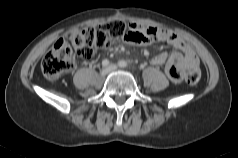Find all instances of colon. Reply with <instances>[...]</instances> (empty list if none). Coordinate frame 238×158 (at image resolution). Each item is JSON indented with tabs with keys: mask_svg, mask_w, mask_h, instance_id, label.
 <instances>
[{
	"mask_svg": "<svg viewBox=\"0 0 238 158\" xmlns=\"http://www.w3.org/2000/svg\"><path fill=\"white\" fill-rule=\"evenodd\" d=\"M131 24L113 20L98 27L74 29L58 40L41 63L44 77L50 81L59 79L75 65L76 56L89 58L98 50L107 48L113 40H127L131 36ZM201 78L198 68L189 70L185 80L195 85Z\"/></svg>",
	"mask_w": 238,
	"mask_h": 158,
	"instance_id": "1",
	"label": "colon"
}]
</instances>
